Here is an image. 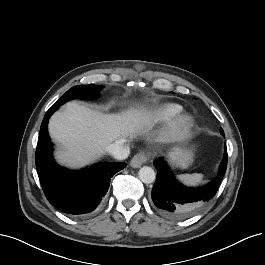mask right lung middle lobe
I'll use <instances>...</instances> for the list:
<instances>
[{
  "mask_svg": "<svg viewBox=\"0 0 265 265\" xmlns=\"http://www.w3.org/2000/svg\"><path fill=\"white\" fill-rule=\"evenodd\" d=\"M102 86L99 85H77L68 90L53 106L59 107L68 100L74 98H84V99H95L99 97V91Z\"/></svg>",
  "mask_w": 265,
  "mask_h": 265,
  "instance_id": "dd1d6c3e",
  "label": "right lung middle lobe"
}]
</instances>
